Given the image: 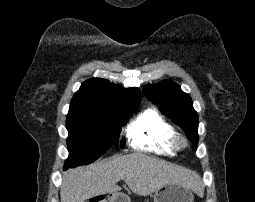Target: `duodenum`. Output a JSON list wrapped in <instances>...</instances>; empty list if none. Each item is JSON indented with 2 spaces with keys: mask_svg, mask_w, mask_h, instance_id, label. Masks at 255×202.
Instances as JSON below:
<instances>
[{
  "mask_svg": "<svg viewBox=\"0 0 255 202\" xmlns=\"http://www.w3.org/2000/svg\"><path fill=\"white\" fill-rule=\"evenodd\" d=\"M111 201H112V202H123L121 199L116 198V197H112V198H111Z\"/></svg>",
  "mask_w": 255,
  "mask_h": 202,
  "instance_id": "410a0bca",
  "label": "duodenum"
}]
</instances>
